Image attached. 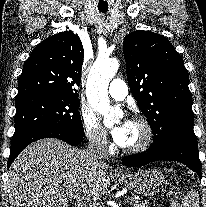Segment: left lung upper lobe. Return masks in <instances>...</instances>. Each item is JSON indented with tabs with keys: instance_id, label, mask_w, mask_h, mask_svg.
Here are the masks:
<instances>
[{
	"instance_id": "left-lung-upper-lobe-1",
	"label": "left lung upper lobe",
	"mask_w": 206,
	"mask_h": 207,
	"mask_svg": "<svg viewBox=\"0 0 206 207\" xmlns=\"http://www.w3.org/2000/svg\"><path fill=\"white\" fill-rule=\"evenodd\" d=\"M123 51L129 86L154 134L150 149L179 136H195L189 75L170 41L135 31L124 39Z\"/></svg>"
}]
</instances>
